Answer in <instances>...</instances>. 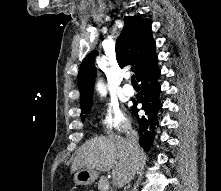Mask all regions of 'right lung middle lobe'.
<instances>
[{
  "label": "right lung middle lobe",
  "mask_w": 221,
  "mask_h": 191,
  "mask_svg": "<svg viewBox=\"0 0 221 191\" xmlns=\"http://www.w3.org/2000/svg\"><path fill=\"white\" fill-rule=\"evenodd\" d=\"M90 111H87V112H84V113H82V115H81V120H82V122H84V119H85V115H83V114H87V113H89Z\"/></svg>",
  "instance_id": "1"
}]
</instances>
